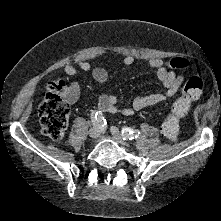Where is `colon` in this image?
<instances>
[{
    "label": "colon",
    "mask_w": 221,
    "mask_h": 221,
    "mask_svg": "<svg viewBox=\"0 0 221 221\" xmlns=\"http://www.w3.org/2000/svg\"><path fill=\"white\" fill-rule=\"evenodd\" d=\"M165 66L171 69H185L189 66V61L185 58H173L166 61ZM203 89L204 81L199 76L191 77L186 82L182 96L173 103L161 126L162 135L168 140H177L181 119L185 116L189 104L200 96ZM69 96L70 88L64 80H59L49 86L39 107L41 131L51 139H61L66 131L70 113Z\"/></svg>",
    "instance_id": "5ec220e1"
}]
</instances>
